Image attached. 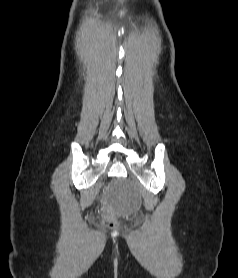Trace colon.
<instances>
[{
    "label": "colon",
    "instance_id": "obj_1",
    "mask_svg": "<svg viewBox=\"0 0 238 278\" xmlns=\"http://www.w3.org/2000/svg\"><path fill=\"white\" fill-rule=\"evenodd\" d=\"M107 224L109 226H116L117 225L116 221L114 220V218L112 217V215L110 213H108V215H107Z\"/></svg>",
    "mask_w": 238,
    "mask_h": 278
}]
</instances>
